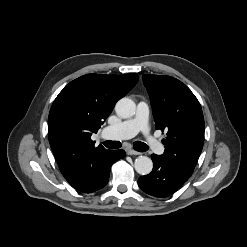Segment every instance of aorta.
I'll use <instances>...</instances> for the list:
<instances>
[{"label":"aorta","mask_w":247,"mask_h":247,"mask_svg":"<svg viewBox=\"0 0 247 247\" xmlns=\"http://www.w3.org/2000/svg\"><path fill=\"white\" fill-rule=\"evenodd\" d=\"M115 111L121 118H130L135 114L136 104L130 98H121L115 105ZM134 168L137 173L147 175L152 171L153 162L147 156H139L135 159Z\"/></svg>","instance_id":"obj_1"}]
</instances>
